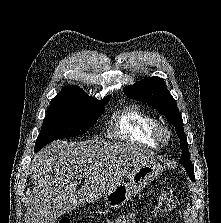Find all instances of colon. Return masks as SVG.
Masks as SVG:
<instances>
[{
    "label": "colon",
    "mask_w": 221,
    "mask_h": 223,
    "mask_svg": "<svg viewBox=\"0 0 221 223\" xmlns=\"http://www.w3.org/2000/svg\"><path fill=\"white\" fill-rule=\"evenodd\" d=\"M177 203V193L171 186H163L156 200L154 210L151 212V217L168 213L172 211ZM57 223H71L69 218H61Z\"/></svg>",
    "instance_id": "obj_1"
}]
</instances>
